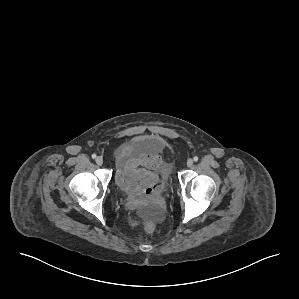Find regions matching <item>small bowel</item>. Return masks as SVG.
<instances>
[{"instance_id": "1", "label": "small bowel", "mask_w": 299, "mask_h": 299, "mask_svg": "<svg viewBox=\"0 0 299 299\" xmlns=\"http://www.w3.org/2000/svg\"><path fill=\"white\" fill-rule=\"evenodd\" d=\"M133 143L124 144L117 151L115 181L131 199L137 200L160 192L162 185L155 170L166 174L168 167L157 153L135 154Z\"/></svg>"}]
</instances>
